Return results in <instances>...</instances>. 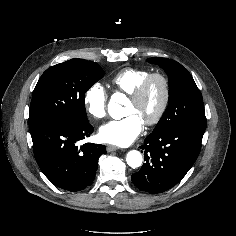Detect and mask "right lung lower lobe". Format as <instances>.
Here are the masks:
<instances>
[{
	"label": "right lung lower lobe",
	"mask_w": 236,
	"mask_h": 236,
	"mask_svg": "<svg viewBox=\"0 0 236 236\" xmlns=\"http://www.w3.org/2000/svg\"><path fill=\"white\" fill-rule=\"evenodd\" d=\"M33 151L37 164L55 186L76 192L94 180L98 159L106 153L104 145L76 142L89 137V121L35 118L29 120Z\"/></svg>",
	"instance_id": "obj_1"
}]
</instances>
